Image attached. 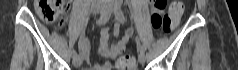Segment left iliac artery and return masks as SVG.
<instances>
[{
	"instance_id": "obj_1",
	"label": "left iliac artery",
	"mask_w": 238,
	"mask_h": 70,
	"mask_svg": "<svg viewBox=\"0 0 238 70\" xmlns=\"http://www.w3.org/2000/svg\"><path fill=\"white\" fill-rule=\"evenodd\" d=\"M114 13H115V16L119 22H121V23L125 22V16H124L122 8H121L120 0L115 2ZM140 48H141L140 52L148 51V49H149L148 46H146L144 44L141 45Z\"/></svg>"
}]
</instances>
